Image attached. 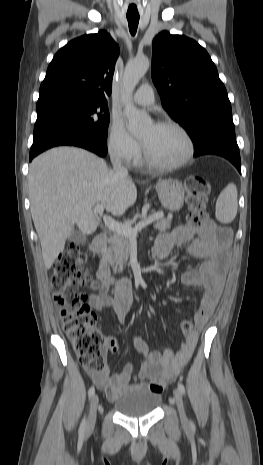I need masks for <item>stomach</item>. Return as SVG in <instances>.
<instances>
[{
  "label": "stomach",
  "mask_w": 263,
  "mask_h": 465,
  "mask_svg": "<svg viewBox=\"0 0 263 465\" xmlns=\"http://www.w3.org/2000/svg\"><path fill=\"white\" fill-rule=\"evenodd\" d=\"M156 191L162 206L166 209L179 211L183 207L184 189L181 182L174 179L159 181Z\"/></svg>",
  "instance_id": "1"
}]
</instances>
